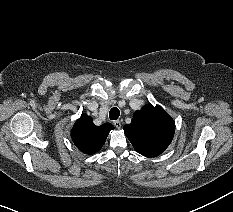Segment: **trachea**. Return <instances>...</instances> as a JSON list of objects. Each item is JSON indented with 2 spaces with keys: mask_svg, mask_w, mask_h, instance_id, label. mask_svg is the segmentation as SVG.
<instances>
[{
  "mask_svg": "<svg viewBox=\"0 0 233 212\" xmlns=\"http://www.w3.org/2000/svg\"><path fill=\"white\" fill-rule=\"evenodd\" d=\"M119 115H120V111H119V109L117 107H113L109 112V118L111 120L118 119Z\"/></svg>",
  "mask_w": 233,
  "mask_h": 212,
  "instance_id": "obj_1",
  "label": "trachea"
}]
</instances>
